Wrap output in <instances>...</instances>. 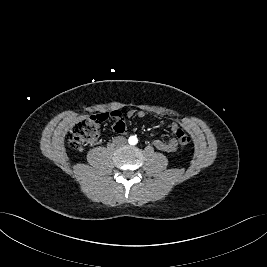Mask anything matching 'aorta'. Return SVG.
I'll use <instances>...</instances> for the list:
<instances>
[{
    "instance_id": "aorta-1",
    "label": "aorta",
    "mask_w": 267,
    "mask_h": 267,
    "mask_svg": "<svg viewBox=\"0 0 267 267\" xmlns=\"http://www.w3.org/2000/svg\"><path fill=\"white\" fill-rule=\"evenodd\" d=\"M128 142L130 145H136L137 142H138V139L136 136H130L129 139H128Z\"/></svg>"
}]
</instances>
